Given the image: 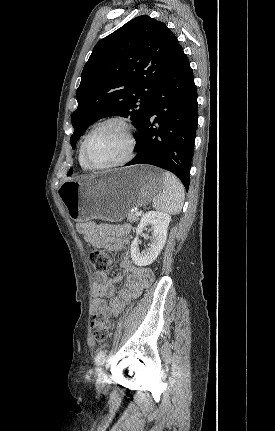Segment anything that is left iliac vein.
Wrapping results in <instances>:
<instances>
[{"label": "left iliac vein", "instance_id": "1", "mask_svg": "<svg viewBox=\"0 0 275 431\" xmlns=\"http://www.w3.org/2000/svg\"><path fill=\"white\" fill-rule=\"evenodd\" d=\"M98 381H99L100 383H104V381H105V376H104V372H103V371H101V372H99V373H98Z\"/></svg>", "mask_w": 275, "mask_h": 431}]
</instances>
